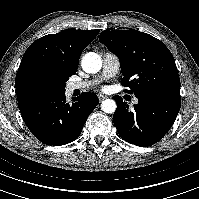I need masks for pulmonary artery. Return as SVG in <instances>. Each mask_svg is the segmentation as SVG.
Segmentation results:
<instances>
[{
  "label": "pulmonary artery",
  "mask_w": 199,
  "mask_h": 199,
  "mask_svg": "<svg viewBox=\"0 0 199 199\" xmlns=\"http://www.w3.org/2000/svg\"><path fill=\"white\" fill-rule=\"evenodd\" d=\"M103 68L99 77L100 80L109 79L115 76L120 70L119 58L113 53H105L102 56ZM95 80L74 81L67 86L68 92L75 90H86L94 84ZM138 99H133V104H137Z\"/></svg>",
  "instance_id": "pulmonary-artery-1"
}]
</instances>
